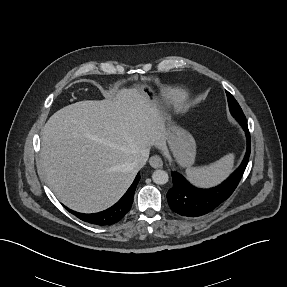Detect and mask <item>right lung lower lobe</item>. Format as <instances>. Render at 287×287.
Instances as JSON below:
<instances>
[{"mask_svg": "<svg viewBox=\"0 0 287 287\" xmlns=\"http://www.w3.org/2000/svg\"><path fill=\"white\" fill-rule=\"evenodd\" d=\"M140 180V175L137 174L135 180L133 181L132 185L129 187L127 192L123 195V197L112 207L107 210H104L99 213L93 214H84L72 211L70 209L69 212L73 213L82 221L104 226V225H112L120 221L125 214L130 210L131 205L133 203V197L136 190V186Z\"/></svg>", "mask_w": 287, "mask_h": 287, "instance_id": "obj_1", "label": "right lung lower lobe"}]
</instances>
